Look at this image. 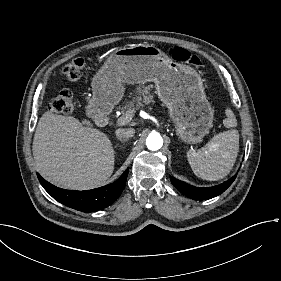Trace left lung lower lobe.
<instances>
[{
	"label": "left lung lower lobe",
	"mask_w": 281,
	"mask_h": 281,
	"mask_svg": "<svg viewBox=\"0 0 281 281\" xmlns=\"http://www.w3.org/2000/svg\"><path fill=\"white\" fill-rule=\"evenodd\" d=\"M235 178L236 175L220 185L207 188L195 187L180 180H177L174 177H170V180L172 184L185 196L194 200H207L223 193L233 183Z\"/></svg>",
	"instance_id": "1"
}]
</instances>
